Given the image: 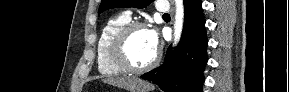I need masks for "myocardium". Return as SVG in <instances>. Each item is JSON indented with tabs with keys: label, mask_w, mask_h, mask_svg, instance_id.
Returning <instances> with one entry per match:
<instances>
[{
	"label": "myocardium",
	"mask_w": 289,
	"mask_h": 92,
	"mask_svg": "<svg viewBox=\"0 0 289 92\" xmlns=\"http://www.w3.org/2000/svg\"><path fill=\"white\" fill-rule=\"evenodd\" d=\"M138 29H146V24L139 21H130L125 24L114 36L110 54L116 66L129 73H143L154 68L160 59V53L156 50L153 59L146 65L136 66L127 56V44L132 33Z\"/></svg>",
	"instance_id": "myocardium-1"
}]
</instances>
